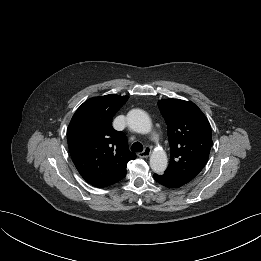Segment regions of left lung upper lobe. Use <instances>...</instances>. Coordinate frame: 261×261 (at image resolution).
<instances>
[{
	"label": "left lung upper lobe",
	"mask_w": 261,
	"mask_h": 261,
	"mask_svg": "<svg viewBox=\"0 0 261 261\" xmlns=\"http://www.w3.org/2000/svg\"><path fill=\"white\" fill-rule=\"evenodd\" d=\"M168 126L171 148L165 175L184 184L193 180L205 166L212 146L211 126L192 102L168 99L158 102Z\"/></svg>",
	"instance_id": "5c2ea615"
}]
</instances>
